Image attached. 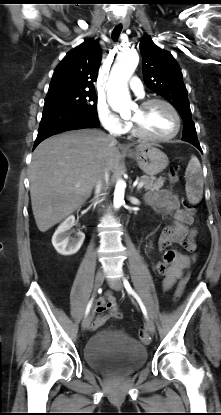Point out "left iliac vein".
<instances>
[{
    "label": "left iliac vein",
    "instance_id": "1",
    "mask_svg": "<svg viewBox=\"0 0 221 415\" xmlns=\"http://www.w3.org/2000/svg\"><path fill=\"white\" fill-rule=\"evenodd\" d=\"M109 285L112 289L115 291H121L123 288V284L119 279H115L113 281H109ZM146 327L149 330L150 333H155V325L153 321L149 318H146Z\"/></svg>",
    "mask_w": 221,
    "mask_h": 415
}]
</instances>
